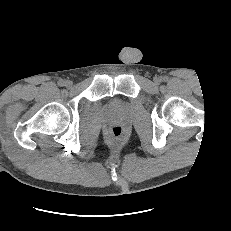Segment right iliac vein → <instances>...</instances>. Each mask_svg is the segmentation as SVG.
I'll return each instance as SVG.
<instances>
[{
	"label": "right iliac vein",
	"mask_w": 231,
	"mask_h": 231,
	"mask_svg": "<svg viewBox=\"0 0 231 231\" xmlns=\"http://www.w3.org/2000/svg\"><path fill=\"white\" fill-rule=\"evenodd\" d=\"M66 87H71L72 86V81L68 80L65 82Z\"/></svg>",
	"instance_id": "63e3f726"
}]
</instances>
